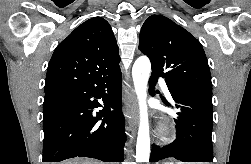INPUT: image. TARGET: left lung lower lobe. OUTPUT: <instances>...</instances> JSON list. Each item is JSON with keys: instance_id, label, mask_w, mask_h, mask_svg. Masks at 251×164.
I'll return each instance as SVG.
<instances>
[{"instance_id": "obj_1", "label": "left lung lower lobe", "mask_w": 251, "mask_h": 164, "mask_svg": "<svg viewBox=\"0 0 251 164\" xmlns=\"http://www.w3.org/2000/svg\"><path fill=\"white\" fill-rule=\"evenodd\" d=\"M159 76L151 75L149 92ZM178 110L176 139L169 145H152L150 162L174 157L182 162H213L212 148V95L166 82ZM167 104V103H166Z\"/></svg>"}]
</instances>
